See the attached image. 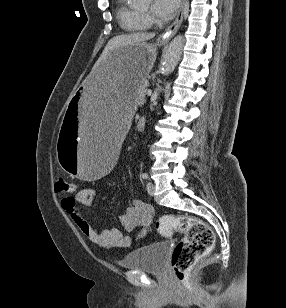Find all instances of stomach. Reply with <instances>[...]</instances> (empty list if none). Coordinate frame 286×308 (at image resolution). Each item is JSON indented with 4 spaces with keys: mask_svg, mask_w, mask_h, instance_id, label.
Returning <instances> with one entry per match:
<instances>
[{
    "mask_svg": "<svg viewBox=\"0 0 286 308\" xmlns=\"http://www.w3.org/2000/svg\"><path fill=\"white\" fill-rule=\"evenodd\" d=\"M156 55L155 45L122 44L97 60L61 118L57 160L64 173L78 182H99L112 173L124 143L121 132L138 107L136 89L146 81Z\"/></svg>",
    "mask_w": 286,
    "mask_h": 308,
    "instance_id": "0dacf381",
    "label": "stomach"
}]
</instances>
